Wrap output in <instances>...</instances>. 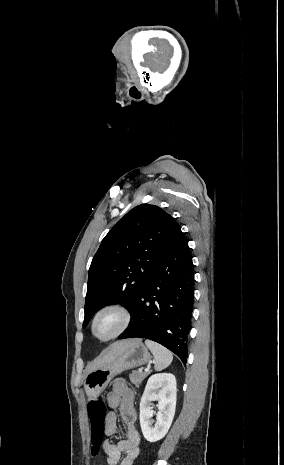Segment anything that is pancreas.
Listing matches in <instances>:
<instances>
[{
	"instance_id": "obj_1",
	"label": "pancreas",
	"mask_w": 284,
	"mask_h": 465,
	"mask_svg": "<svg viewBox=\"0 0 284 465\" xmlns=\"http://www.w3.org/2000/svg\"><path fill=\"white\" fill-rule=\"evenodd\" d=\"M151 371L148 373H139V371H132V375H129L131 383L135 385V387H139L140 383L150 375Z\"/></svg>"
}]
</instances>
